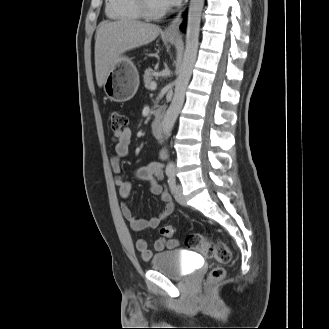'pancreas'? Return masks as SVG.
<instances>
[{
    "mask_svg": "<svg viewBox=\"0 0 329 329\" xmlns=\"http://www.w3.org/2000/svg\"><path fill=\"white\" fill-rule=\"evenodd\" d=\"M153 75H154V71L152 68H147L145 70L144 75H143L145 88H147V89L150 88V84L153 80Z\"/></svg>",
    "mask_w": 329,
    "mask_h": 329,
    "instance_id": "obj_1",
    "label": "pancreas"
}]
</instances>
